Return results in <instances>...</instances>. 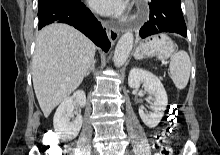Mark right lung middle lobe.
<instances>
[{
	"label": "right lung middle lobe",
	"instance_id": "right-lung-middle-lobe-1",
	"mask_svg": "<svg viewBox=\"0 0 220 155\" xmlns=\"http://www.w3.org/2000/svg\"><path fill=\"white\" fill-rule=\"evenodd\" d=\"M75 2V1H79V0H39V9L45 8L47 6L56 4V3H60V2Z\"/></svg>",
	"mask_w": 220,
	"mask_h": 155
}]
</instances>
